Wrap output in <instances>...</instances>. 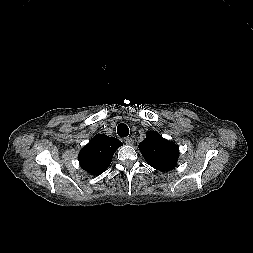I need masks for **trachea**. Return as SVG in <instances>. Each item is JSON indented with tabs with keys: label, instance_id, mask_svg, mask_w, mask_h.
<instances>
[{
	"label": "trachea",
	"instance_id": "obj_1",
	"mask_svg": "<svg viewBox=\"0 0 253 253\" xmlns=\"http://www.w3.org/2000/svg\"><path fill=\"white\" fill-rule=\"evenodd\" d=\"M117 133L120 137H127L129 135V128L126 124H119L117 127Z\"/></svg>",
	"mask_w": 253,
	"mask_h": 253
}]
</instances>
